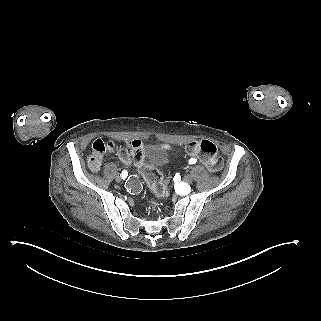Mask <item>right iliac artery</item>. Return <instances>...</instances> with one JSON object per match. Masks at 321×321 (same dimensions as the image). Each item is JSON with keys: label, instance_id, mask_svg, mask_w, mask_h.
<instances>
[{"label": "right iliac artery", "instance_id": "right-iliac-artery-1", "mask_svg": "<svg viewBox=\"0 0 321 321\" xmlns=\"http://www.w3.org/2000/svg\"><path fill=\"white\" fill-rule=\"evenodd\" d=\"M127 175H128L127 171H122L120 176L122 179H125L127 177Z\"/></svg>", "mask_w": 321, "mask_h": 321}]
</instances>
